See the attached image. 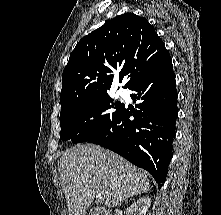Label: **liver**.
Listing matches in <instances>:
<instances>
[{
	"mask_svg": "<svg viewBox=\"0 0 221 215\" xmlns=\"http://www.w3.org/2000/svg\"><path fill=\"white\" fill-rule=\"evenodd\" d=\"M58 171L69 215H85L96 193L112 208L150 188L146 171L92 144L64 151Z\"/></svg>",
	"mask_w": 221,
	"mask_h": 215,
	"instance_id": "1",
	"label": "liver"
}]
</instances>
